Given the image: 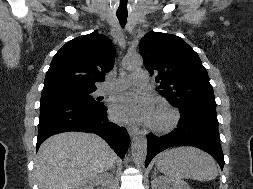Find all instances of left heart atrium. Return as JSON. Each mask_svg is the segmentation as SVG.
Wrapping results in <instances>:
<instances>
[{"label":"left heart atrium","instance_id":"39dd6f15","mask_svg":"<svg viewBox=\"0 0 253 189\" xmlns=\"http://www.w3.org/2000/svg\"><path fill=\"white\" fill-rule=\"evenodd\" d=\"M153 112L148 98L131 93L118 96L111 108L113 118L124 123H149Z\"/></svg>","mask_w":253,"mask_h":189}]
</instances>
